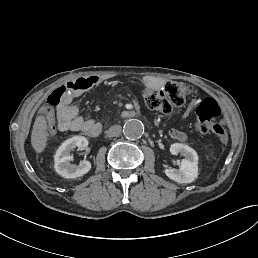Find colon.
<instances>
[{
	"label": "colon",
	"instance_id": "obj_1",
	"mask_svg": "<svg viewBox=\"0 0 258 258\" xmlns=\"http://www.w3.org/2000/svg\"><path fill=\"white\" fill-rule=\"evenodd\" d=\"M71 84L65 83L56 88L48 97L44 108V115L47 120L52 118L54 110L60 107L68 98L73 90ZM191 94V87L178 81H169L161 89H150L145 93L147 105L164 115L171 114L176 108L184 105ZM197 122L194 131L198 134L213 132L221 143L228 142V134L221 123L214 120L220 115V108L214 99L203 100L196 109Z\"/></svg>",
	"mask_w": 258,
	"mask_h": 258
}]
</instances>
